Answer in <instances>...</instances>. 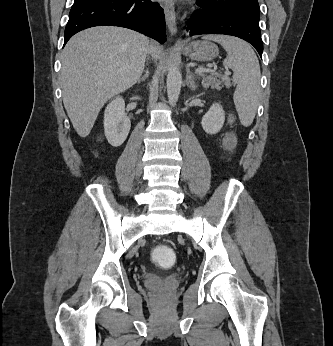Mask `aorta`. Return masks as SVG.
Wrapping results in <instances>:
<instances>
[{"label":"aorta","mask_w":333,"mask_h":346,"mask_svg":"<svg viewBox=\"0 0 333 346\" xmlns=\"http://www.w3.org/2000/svg\"><path fill=\"white\" fill-rule=\"evenodd\" d=\"M181 84L182 77L180 71L176 64H172L169 68L167 75V95L169 104L173 107L176 105L178 101L181 90Z\"/></svg>","instance_id":"762f6f07"}]
</instances>
